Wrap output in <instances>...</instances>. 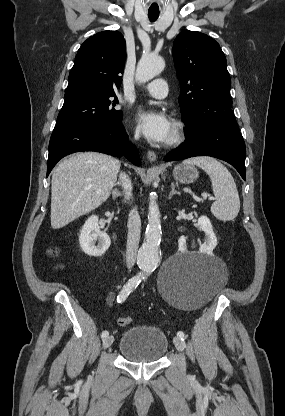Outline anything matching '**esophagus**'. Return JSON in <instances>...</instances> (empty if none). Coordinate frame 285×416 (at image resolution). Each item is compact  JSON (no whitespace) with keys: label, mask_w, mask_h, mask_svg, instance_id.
<instances>
[{"label":"esophagus","mask_w":285,"mask_h":416,"mask_svg":"<svg viewBox=\"0 0 285 416\" xmlns=\"http://www.w3.org/2000/svg\"><path fill=\"white\" fill-rule=\"evenodd\" d=\"M147 158L150 162H154L156 160V154L154 151H148Z\"/></svg>","instance_id":"1"}]
</instances>
